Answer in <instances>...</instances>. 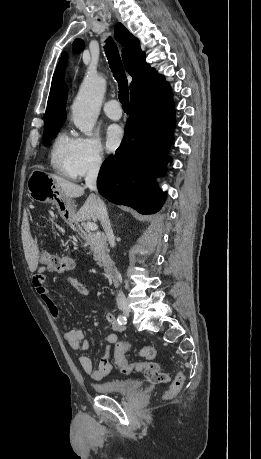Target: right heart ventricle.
<instances>
[{
	"label": "right heart ventricle",
	"mask_w": 261,
	"mask_h": 459,
	"mask_svg": "<svg viewBox=\"0 0 261 459\" xmlns=\"http://www.w3.org/2000/svg\"><path fill=\"white\" fill-rule=\"evenodd\" d=\"M75 139L65 132H60L54 139L50 150L51 166L61 175L74 178L72 159Z\"/></svg>",
	"instance_id": "1"
}]
</instances>
